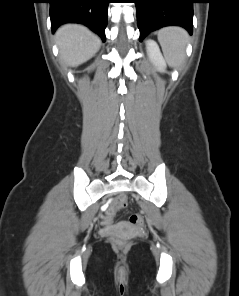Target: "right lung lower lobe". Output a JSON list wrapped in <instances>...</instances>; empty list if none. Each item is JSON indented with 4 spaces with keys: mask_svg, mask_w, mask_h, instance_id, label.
Here are the masks:
<instances>
[{
    "mask_svg": "<svg viewBox=\"0 0 239 296\" xmlns=\"http://www.w3.org/2000/svg\"><path fill=\"white\" fill-rule=\"evenodd\" d=\"M52 32L62 24H84L105 41L109 0H48Z\"/></svg>",
    "mask_w": 239,
    "mask_h": 296,
    "instance_id": "obj_1",
    "label": "right lung lower lobe"
}]
</instances>
